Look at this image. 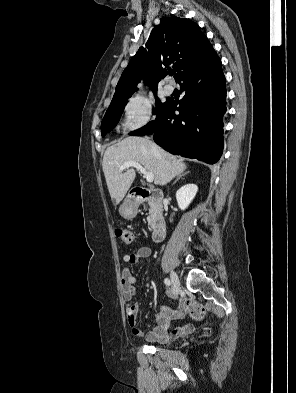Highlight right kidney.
<instances>
[{"instance_id":"obj_1","label":"right kidney","mask_w":296,"mask_h":393,"mask_svg":"<svg viewBox=\"0 0 296 393\" xmlns=\"http://www.w3.org/2000/svg\"><path fill=\"white\" fill-rule=\"evenodd\" d=\"M197 191H198L197 185L187 184L181 187L176 192V200L181 210H185L189 206L191 201L194 199Z\"/></svg>"}]
</instances>
